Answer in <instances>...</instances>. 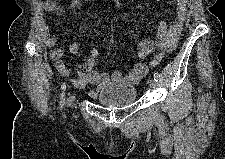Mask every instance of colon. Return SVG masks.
<instances>
[{
	"mask_svg": "<svg viewBox=\"0 0 225 159\" xmlns=\"http://www.w3.org/2000/svg\"><path fill=\"white\" fill-rule=\"evenodd\" d=\"M162 58H163V53H160V54L156 55L154 57V59L152 60L151 65L152 66L157 65L162 60Z\"/></svg>",
	"mask_w": 225,
	"mask_h": 159,
	"instance_id": "1",
	"label": "colon"
}]
</instances>
